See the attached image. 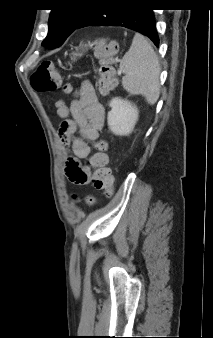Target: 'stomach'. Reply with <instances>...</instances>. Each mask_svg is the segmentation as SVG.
<instances>
[{"mask_svg": "<svg viewBox=\"0 0 213 338\" xmlns=\"http://www.w3.org/2000/svg\"><path fill=\"white\" fill-rule=\"evenodd\" d=\"M86 50H87V47L80 48V51H77V53L73 54L71 59L75 61L78 57H81Z\"/></svg>", "mask_w": 213, "mask_h": 338, "instance_id": "0dacf381", "label": "stomach"}]
</instances>
